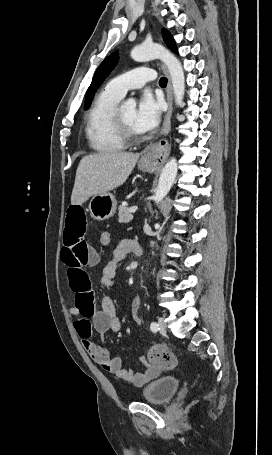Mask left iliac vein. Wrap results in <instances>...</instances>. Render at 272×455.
<instances>
[{
	"label": "left iliac vein",
	"instance_id": "4c4485c4",
	"mask_svg": "<svg viewBox=\"0 0 272 455\" xmlns=\"http://www.w3.org/2000/svg\"><path fill=\"white\" fill-rule=\"evenodd\" d=\"M158 326H159V332L162 334H165L167 327H166V323L162 317H160L158 319Z\"/></svg>",
	"mask_w": 272,
	"mask_h": 455
}]
</instances>
